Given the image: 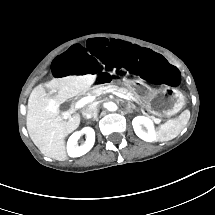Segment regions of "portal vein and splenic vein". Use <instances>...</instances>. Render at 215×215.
I'll list each match as a JSON object with an SVG mask.
<instances>
[{
	"label": "portal vein and splenic vein",
	"instance_id": "obj_1",
	"mask_svg": "<svg viewBox=\"0 0 215 215\" xmlns=\"http://www.w3.org/2000/svg\"><path fill=\"white\" fill-rule=\"evenodd\" d=\"M107 92H112L113 94H115L116 96L120 97V98H124V99H129L128 96L120 93V92H115L113 90H107ZM95 99V96H86L83 97L82 99H80L76 104H75V108H81L83 107L85 104L92 102Z\"/></svg>",
	"mask_w": 215,
	"mask_h": 215
}]
</instances>
